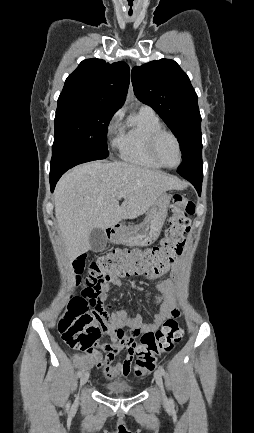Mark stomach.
<instances>
[{
    "instance_id": "obj_1",
    "label": "stomach",
    "mask_w": 254,
    "mask_h": 433,
    "mask_svg": "<svg viewBox=\"0 0 254 433\" xmlns=\"http://www.w3.org/2000/svg\"><path fill=\"white\" fill-rule=\"evenodd\" d=\"M171 196L163 193L151 206L142 223L126 228H114L109 240L127 246H148L156 241L168 213Z\"/></svg>"
}]
</instances>
